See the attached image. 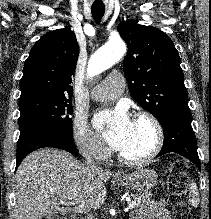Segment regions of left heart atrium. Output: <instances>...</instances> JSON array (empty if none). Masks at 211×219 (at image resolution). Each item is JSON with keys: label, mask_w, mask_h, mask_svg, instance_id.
<instances>
[{"label": "left heart atrium", "mask_w": 211, "mask_h": 219, "mask_svg": "<svg viewBox=\"0 0 211 219\" xmlns=\"http://www.w3.org/2000/svg\"><path fill=\"white\" fill-rule=\"evenodd\" d=\"M94 125L108 144L118 151L124 148L133 131V122L123 108L97 114Z\"/></svg>", "instance_id": "39dd6f15"}]
</instances>
